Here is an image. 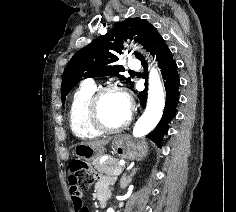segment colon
<instances>
[{
  "instance_id": "colon-1",
  "label": "colon",
  "mask_w": 236,
  "mask_h": 212,
  "mask_svg": "<svg viewBox=\"0 0 236 212\" xmlns=\"http://www.w3.org/2000/svg\"><path fill=\"white\" fill-rule=\"evenodd\" d=\"M70 175H78L82 185L90 187L96 177L95 171L85 162L74 160L70 164Z\"/></svg>"
}]
</instances>
